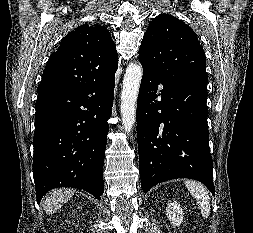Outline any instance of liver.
Instances as JSON below:
<instances>
[{"instance_id": "liver-1", "label": "liver", "mask_w": 253, "mask_h": 233, "mask_svg": "<svg viewBox=\"0 0 253 233\" xmlns=\"http://www.w3.org/2000/svg\"><path fill=\"white\" fill-rule=\"evenodd\" d=\"M72 195L73 191L68 189H57L50 192L43 202L46 214L50 215L56 212Z\"/></svg>"}]
</instances>
